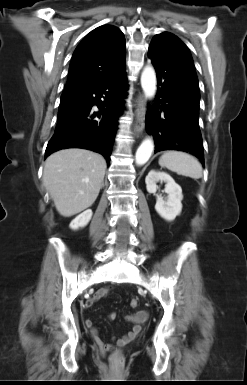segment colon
Returning <instances> with one entry per match:
<instances>
[{"mask_svg":"<svg viewBox=\"0 0 247 385\" xmlns=\"http://www.w3.org/2000/svg\"><path fill=\"white\" fill-rule=\"evenodd\" d=\"M139 302L138 300L134 299L131 301L130 305L131 307L133 308H136L138 306ZM120 362V352L119 351H114V354H113V360H112V363L114 366H117Z\"/></svg>","mask_w":247,"mask_h":385,"instance_id":"1","label":"colon"}]
</instances>
